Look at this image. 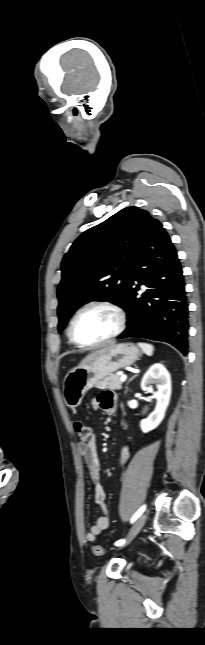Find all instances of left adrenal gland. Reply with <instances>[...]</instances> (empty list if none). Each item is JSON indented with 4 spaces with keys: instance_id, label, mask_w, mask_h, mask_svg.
<instances>
[{
    "instance_id": "a2214340",
    "label": "left adrenal gland",
    "mask_w": 205,
    "mask_h": 645,
    "mask_svg": "<svg viewBox=\"0 0 205 645\" xmlns=\"http://www.w3.org/2000/svg\"><path fill=\"white\" fill-rule=\"evenodd\" d=\"M134 378H135V375H134V376L129 380V382H131ZM129 382H128V383H129ZM127 391H128V387H126V391H125V393H127Z\"/></svg>"
}]
</instances>
